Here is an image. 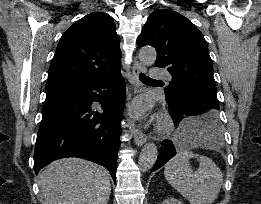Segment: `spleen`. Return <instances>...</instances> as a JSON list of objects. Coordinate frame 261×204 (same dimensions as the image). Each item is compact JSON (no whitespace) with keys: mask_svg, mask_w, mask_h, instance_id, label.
<instances>
[{"mask_svg":"<svg viewBox=\"0 0 261 204\" xmlns=\"http://www.w3.org/2000/svg\"><path fill=\"white\" fill-rule=\"evenodd\" d=\"M203 116L189 119L181 126L182 132L188 133V145L190 147H211L216 139L200 135L198 126ZM196 158L199 167L193 171L189 160ZM164 175L168 183L190 204H212L220 192L223 174L212 159L194 154L189 147L178 151L175 157L165 165Z\"/></svg>","mask_w":261,"mask_h":204,"instance_id":"spleen-1","label":"spleen"}]
</instances>
